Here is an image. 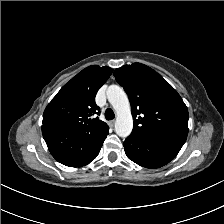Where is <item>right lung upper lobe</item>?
<instances>
[{
  "label": "right lung upper lobe",
  "instance_id": "obj_1",
  "mask_svg": "<svg viewBox=\"0 0 224 224\" xmlns=\"http://www.w3.org/2000/svg\"><path fill=\"white\" fill-rule=\"evenodd\" d=\"M112 71L110 67L97 65L83 69L65 84L47 105L43 114V125H54L88 134L108 129L105 122L90 117L100 113L95 96Z\"/></svg>",
  "mask_w": 224,
  "mask_h": 224
}]
</instances>
